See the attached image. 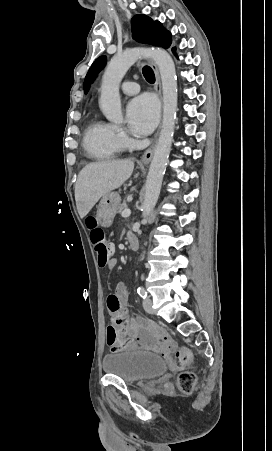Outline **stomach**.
<instances>
[{
  "label": "stomach",
  "mask_w": 272,
  "mask_h": 451,
  "mask_svg": "<svg viewBox=\"0 0 272 451\" xmlns=\"http://www.w3.org/2000/svg\"><path fill=\"white\" fill-rule=\"evenodd\" d=\"M120 202L121 198L117 192H109V194H105V196H103L101 202H99V206H97L96 212V218L100 226H111Z\"/></svg>",
  "instance_id": "1"
}]
</instances>
